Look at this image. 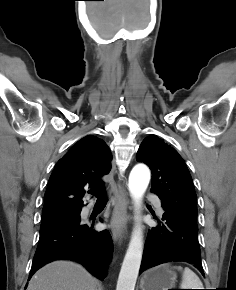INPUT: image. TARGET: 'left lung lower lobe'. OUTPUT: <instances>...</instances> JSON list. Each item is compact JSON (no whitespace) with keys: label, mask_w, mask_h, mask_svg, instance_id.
<instances>
[{"label":"left lung lower lobe","mask_w":236,"mask_h":290,"mask_svg":"<svg viewBox=\"0 0 236 290\" xmlns=\"http://www.w3.org/2000/svg\"><path fill=\"white\" fill-rule=\"evenodd\" d=\"M171 261L193 264L204 275L198 229L165 211L158 226L148 232L139 273Z\"/></svg>","instance_id":"obj_1"}]
</instances>
